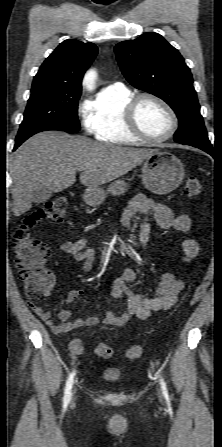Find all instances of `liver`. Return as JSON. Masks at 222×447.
I'll list each match as a JSON object with an SVG mask.
<instances>
[{"label": "liver", "mask_w": 222, "mask_h": 447, "mask_svg": "<svg viewBox=\"0 0 222 447\" xmlns=\"http://www.w3.org/2000/svg\"><path fill=\"white\" fill-rule=\"evenodd\" d=\"M154 151L97 143L58 131L38 133L15 153L13 214L20 216L32 208L39 187L61 192L74 184L77 171H82L81 184L98 187L128 173Z\"/></svg>", "instance_id": "obj_1"}]
</instances>
